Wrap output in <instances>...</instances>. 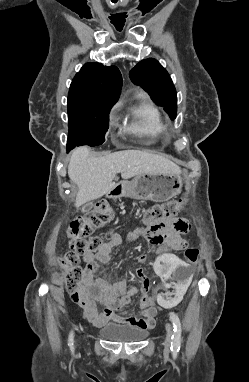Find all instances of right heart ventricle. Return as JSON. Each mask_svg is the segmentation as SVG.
Returning a JSON list of instances; mask_svg holds the SVG:
<instances>
[{
	"instance_id": "obj_1",
	"label": "right heart ventricle",
	"mask_w": 249,
	"mask_h": 382,
	"mask_svg": "<svg viewBox=\"0 0 249 382\" xmlns=\"http://www.w3.org/2000/svg\"><path fill=\"white\" fill-rule=\"evenodd\" d=\"M127 118L126 130L138 137L155 139L167 129L160 110L145 96L128 106Z\"/></svg>"
}]
</instances>
